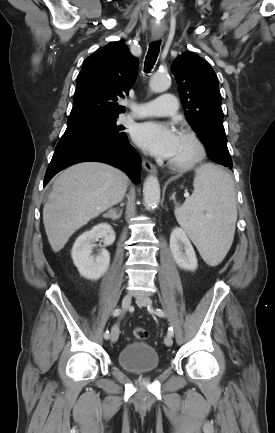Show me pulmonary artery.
<instances>
[{
	"label": "pulmonary artery",
	"instance_id": "obj_1",
	"mask_svg": "<svg viewBox=\"0 0 275 433\" xmlns=\"http://www.w3.org/2000/svg\"><path fill=\"white\" fill-rule=\"evenodd\" d=\"M131 109V117L142 118L148 116H171L177 112L178 102L177 99L169 93L162 94L158 98L134 105L131 103L126 104Z\"/></svg>",
	"mask_w": 275,
	"mask_h": 433
}]
</instances>
